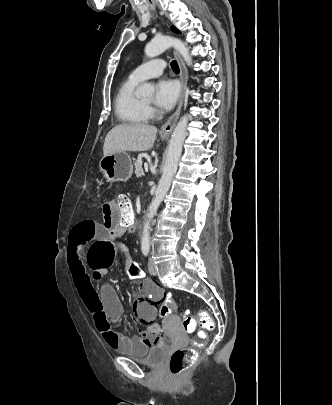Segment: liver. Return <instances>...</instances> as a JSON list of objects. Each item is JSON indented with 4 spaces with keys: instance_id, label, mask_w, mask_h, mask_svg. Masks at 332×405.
I'll use <instances>...</instances> for the list:
<instances>
[{
    "instance_id": "liver-1",
    "label": "liver",
    "mask_w": 332,
    "mask_h": 405,
    "mask_svg": "<svg viewBox=\"0 0 332 405\" xmlns=\"http://www.w3.org/2000/svg\"><path fill=\"white\" fill-rule=\"evenodd\" d=\"M157 132L155 126L148 124L117 125L109 131L105 138L103 154L107 156L123 151H147L153 147Z\"/></svg>"
}]
</instances>
